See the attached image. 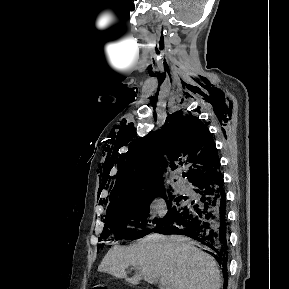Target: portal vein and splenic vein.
<instances>
[{
	"label": "portal vein and splenic vein",
	"instance_id": "portal-vein-and-splenic-vein-1",
	"mask_svg": "<svg viewBox=\"0 0 289 289\" xmlns=\"http://www.w3.org/2000/svg\"><path fill=\"white\" fill-rule=\"evenodd\" d=\"M161 285L163 286V287H165V285H164V282L161 280ZM161 289H164V288H161Z\"/></svg>",
	"mask_w": 289,
	"mask_h": 289
}]
</instances>
